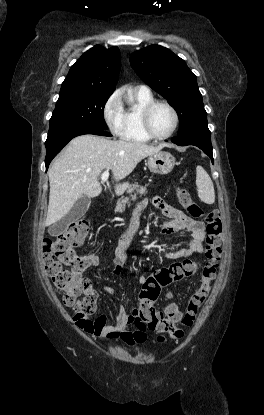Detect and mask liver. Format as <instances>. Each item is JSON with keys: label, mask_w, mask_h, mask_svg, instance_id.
Segmentation results:
<instances>
[{"label": "liver", "mask_w": 264, "mask_h": 415, "mask_svg": "<svg viewBox=\"0 0 264 415\" xmlns=\"http://www.w3.org/2000/svg\"><path fill=\"white\" fill-rule=\"evenodd\" d=\"M165 146L110 140L94 135L72 139L48 171L50 194L45 225L50 226L64 218L81 196H98L102 192L98 181L102 171L111 170L113 179L119 182L142 159ZM127 188L128 182L116 184V195H122Z\"/></svg>", "instance_id": "obj_1"}]
</instances>
